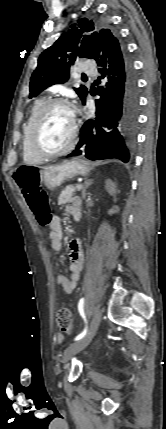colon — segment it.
Segmentation results:
<instances>
[{"mask_svg":"<svg viewBox=\"0 0 166 429\" xmlns=\"http://www.w3.org/2000/svg\"><path fill=\"white\" fill-rule=\"evenodd\" d=\"M13 178L38 222L43 226L47 225L51 221V213L47 194L41 185L40 168L35 165H23L17 169ZM56 322L61 331L72 333L73 317L68 308L58 310Z\"/></svg>","mask_w":166,"mask_h":429,"instance_id":"obj_1","label":"colon"}]
</instances>
